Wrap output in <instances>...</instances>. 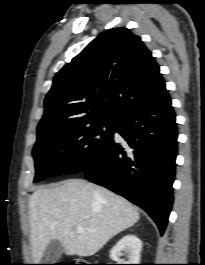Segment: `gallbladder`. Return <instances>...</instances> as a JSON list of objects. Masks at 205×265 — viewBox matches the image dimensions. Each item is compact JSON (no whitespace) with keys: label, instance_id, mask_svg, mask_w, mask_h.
<instances>
[{"label":"gallbladder","instance_id":"1","mask_svg":"<svg viewBox=\"0 0 205 265\" xmlns=\"http://www.w3.org/2000/svg\"><path fill=\"white\" fill-rule=\"evenodd\" d=\"M64 247L59 240H52L46 246L43 256L42 263L43 264H54L63 254Z\"/></svg>","mask_w":205,"mask_h":265}]
</instances>
